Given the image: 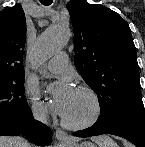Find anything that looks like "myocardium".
Masks as SVG:
<instances>
[{"instance_id": "f54148a6", "label": "myocardium", "mask_w": 145, "mask_h": 147, "mask_svg": "<svg viewBox=\"0 0 145 147\" xmlns=\"http://www.w3.org/2000/svg\"><path fill=\"white\" fill-rule=\"evenodd\" d=\"M77 91L84 93L89 97L92 102L93 109L91 115L80 122H71L65 117H62L61 123L63 127L70 130H84L94 126L100 120L103 111L101 101L97 93L92 88L88 86H79Z\"/></svg>"}]
</instances>
